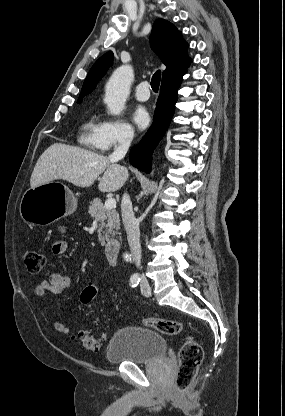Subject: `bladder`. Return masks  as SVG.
<instances>
[{
	"instance_id": "bladder-1",
	"label": "bladder",
	"mask_w": 285,
	"mask_h": 416,
	"mask_svg": "<svg viewBox=\"0 0 285 416\" xmlns=\"http://www.w3.org/2000/svg\"><path fill=\"white\" fill-rule=\"evenodd\" d=\"M167 355V343L162 334L142 326L130 325L116 330L108 345L109 363H152Z\"/></svg>"
}]
</instances>
